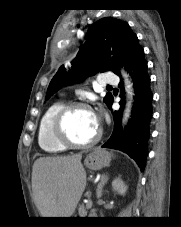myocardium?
I'll use <instances>...</instances> for the list:
<instances>
[{
    "label": "myocardium",
    "instance_id": "f54148a6",
    "mask_svg": "<svg viewBox=\"0 0 181 227\" xmlns=\"http://www.w3.org/2000/svg\"><path fill=\"white\" fill-rule=\"evenodd\" d=\"M77 109L88 110L93 112L91 107L84 102H72L64 104L56 113L52 121V132L57 141L66 147L84 149L95 145L101 138V129L98 128L97 133L90 140L78 142L70 138L66 131V120L71 112Z\"/></svg>",
    "mask_w": 181,
    "mask_h": 227
}]
</instances>
